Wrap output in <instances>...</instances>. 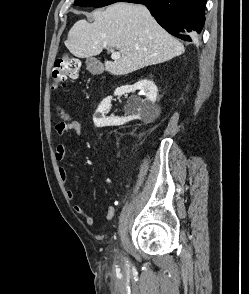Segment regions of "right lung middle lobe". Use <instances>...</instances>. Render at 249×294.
Returning a JSON list of instances; mask_svg holds the SVG:
<instances>
[{
	"label": "right lung middle lobe",
	"mask_w": 249,
	"mask_h": 294,
	"mask_svg": "<svg viewBox=\"0 0 249 294\" xmlns=\"http://www.w3.org/2000/svg\"><path fill=\"white\" fill-rule=\"evenodd\" d=\"M119 0H75V5L89 6V7H103L112 3L118 2Z\"/></svg>",
	"instance_id": "obj_1"
}]
</instances>
